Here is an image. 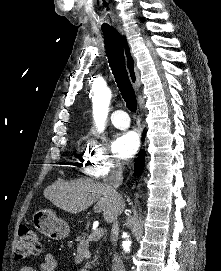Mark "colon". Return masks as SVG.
<instances>
[{"label":"colon","instance_id":"5ec220e1","mask_svg":"<svg viewBox=\"0 0 221 271\" xmlns=\"http://www.w3.org/2000/svg\"><path fill=\"white\" fill-rule=\"evenodd\" d=\"M41 243L34 230L27 225H21L16 242L14 255L17 260H26L39 255Z\"/></svg>","mask_w":221,"mask_h":271}]
</instances>
